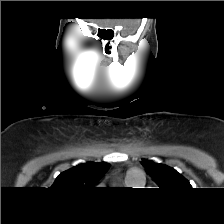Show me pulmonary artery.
Returning <instances> with one entry per match:
<instances>
[{"instance_id":"1","label":"pulmonary artery","mask_w":224,"mask_h":224,"mask_svg":"<svg viewBox=\"0 0 224 224\" xmlns=\"http://www.w3.org/2000/svg\"><path fill=\"white\" fill-rule=\"evenodd\" d=\"M128 181L134 184H142L143 174L138 170H130L128 174Z\"/></svg>"}]
</instances>
